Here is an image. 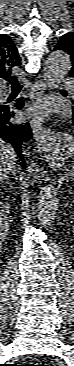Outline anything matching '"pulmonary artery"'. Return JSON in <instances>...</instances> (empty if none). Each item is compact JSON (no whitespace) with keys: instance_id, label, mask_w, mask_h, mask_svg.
<instances>
[{"instance_id":"e3ab8cb5","label":"pulmonary artery","mask_w":74,"mask_h":366,"mask_svg":"<svg viewBox=\"0 0 74 366\" xmlns=\"http://www.w3.org/2000/svg\"><path fill=\"white\" fill-rule=\"evenodd\" d=\"M63 86H64V87H71V86H72V82H71V81H69V80H64V81H63Z\"/></svg>"}]
</instances>
